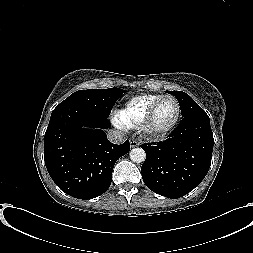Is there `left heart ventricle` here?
<instances>
[{
    "label": "left heart ventricle",
    "mask_w": 253,
    "mask_h": 253,
    "mask_svg": "<svg viewBox=\"0 0 253 253\" xmlns=\"http://www.w3.org/2000/svg\"><path fill=\"white\" fill-rule=\"evenodd\" d=\"M176 111L175 102L172 99H164L156 112L154 126L158 129L168 126L173 121Z\"/></svg>",
    "instance_id": "1"
}]
</instances>
